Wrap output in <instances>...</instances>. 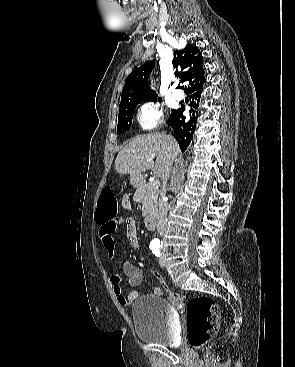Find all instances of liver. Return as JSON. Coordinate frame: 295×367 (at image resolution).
<instances>
[{
	"label": "liver",
	"instance_id": "liver-1",
	"mask_svg": "<svg viewBox=\"0 0 295 367\" xmlns=\"http://www.w3.org/2000/svg\"><path fill=\"white\" fill-rule=\"evenodd\" d=\"M178 144H171L169 136L162 133L140 135L130 141L117 155L115 169L119 174L142 175L153 169L154 175L165 179L180 157ZM157 157L154 163L153 158Z\"/></svg>",
	"mask_w": 295,
	"mask_h": 367
}]
</instances>
